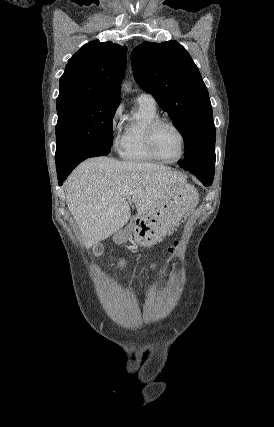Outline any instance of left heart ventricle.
<instances>
[{"label": "left heart ventricle", "mask_w": 274, "mask_h": 427, "mask_svg": "<svg viewBox=\"0 0 274 427\" xmlns=\"http://www.w3.org/2000/svg\"><path fill=\"white\" fill-rule=\"evenodd\" d=\"M158 152L165 159L177 160L181 155L182 144L179 134L170 126L163 125L158 128L155 137Z\"/></svg>", "instance_id": "left-heart-ventricle-1"}]
</instances>
